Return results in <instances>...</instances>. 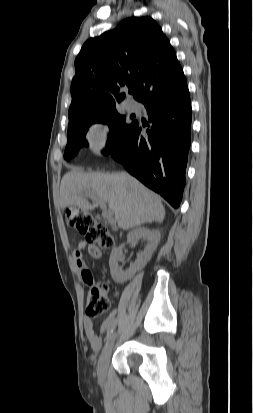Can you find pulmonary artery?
<instances>
[{
  "mask_svg": "<svg viewBox=\"0 0 253 413\" xmlns=\"http://www.w3.org/2000/svg\"><path fill=\"white\" fill-rule=\"evenodd\" d=\"M126 108L131 111L134 112L139 108V105L137 102L133 101V100H129L126 102Z\"/></svg>",
  "mask_w": 253,
  "mask_h": 413,
  "instance_id": "e3ab8cb5",
  "label": "pulmonary artery"
}]
</instances>
